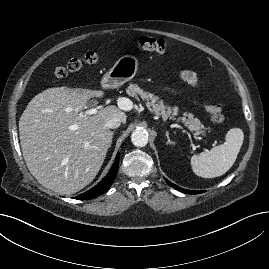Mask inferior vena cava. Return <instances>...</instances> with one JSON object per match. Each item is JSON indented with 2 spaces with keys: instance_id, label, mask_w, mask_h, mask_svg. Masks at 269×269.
I'll return each mask as SVG.
<instances>
[{
  "instance_id": "1",
  "label": "inferior vena cava",
  "mask_w": 269,
  "mask_h": 269,
  "mask_svg": "<svg viewBox=\"0 0 269 269\" xmlns=\"http://www.w3.org/2000/svg\"><path fill=\"white\" fill-rule=\"evenodd\" d=\"M121 124V119L119 117H111L107 123L106 127L109 129H115L118 128Z\"/></svg>"
}]
</instances>
